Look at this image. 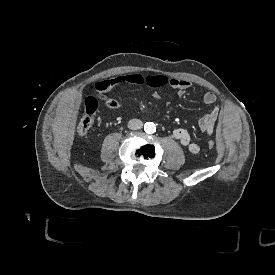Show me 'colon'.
<instances>
[{
  "instance_id": "5ec220e1",
  "label": "colon",
  "mask_w": 275,
  "mask_h": 275,
  "mask_svg": "<svg viewBox=\"0 0 275 275\" xmlns=\"http://www.w3.org/2000/svg\"><path fill=\"white\" fill-rule=\"evenodd\" d=\"M101 96L105 101V104L103 105L104 107H108L110 109H114L117 107V102L115 100L106 98L103 95ZM98 107L99 105L97 100L93 99L91 96L87 98L85 103V112L77 125V132L79 134H85L91 129L95 122V115L98 110ZM205 148L207 151L212 152L215 150L216 145L212 140H207L205 142Z\"/></svg>"
}]
</instances>
